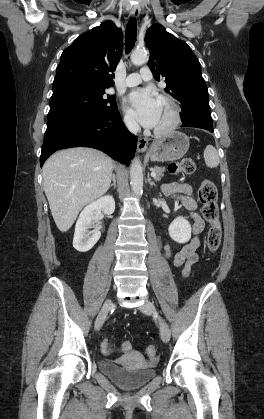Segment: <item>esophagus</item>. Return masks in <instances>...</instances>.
Returning <instances> with one entry per match:
<instances>
[{"label": "esophagus", "mask_w": 264, "mask_h": 419, "mask_svg": "<svg viewBox=\"0 0 264 419\" xmlns=\"http://www.w3.org/2000/svg\"><path fill=\"white\" fill-rule=\"evenodd\" d=\"M131 15L134 18H137L140 15V8L138 6H135L132 11ZM148 140L143 137H139L138 143H137V151L138 152H144L147 149Z\"/></svg>", "instance_id": "1"}]
</instances>
